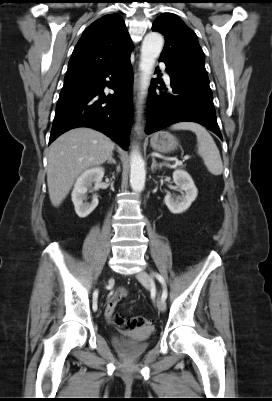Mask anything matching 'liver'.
<instances>
[{
	"instance_id": "obj_1",
	"label": "liver",
	"mask_w": 272,
	"mask_h": 401,
	"mask_svg": "<svg viewBox=\"0 0 272 401\" xmlns=\"http://www.w3.org/2000/svg\"><path fill=\"white\" fill-rule=\"evenodd\" d=\"M114 146L103 133L85 127L58 137L48 154L47 184L52 205L58 207L62 203L81 173L108 160Z\"/></svg>"
}]
</instances>
